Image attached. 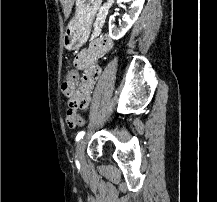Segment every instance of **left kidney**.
Instances as JSON below:
<instances>
[{"label":"left kidney","mask_w":217,"mask_h":202,"mask_svg":"<svg viewBox=\"0 0 217 202\" xmlns=\"http://www.w3.org/2000/svg\"><path fill=\"white\" fill-rule=\"evenodd\" d=\"M119 2L120 0H118V4ZM144 2L145 0H134V2H132L130 10H128L127 14H124V16H122V22H119L120 28H117V26L113 24L112 18H110L109 36L112 38V40H120V38H123L126 32L132 28L139 14H141Z\"/></svg>","instance_id":"left-kidney-1"}]
</instances>
